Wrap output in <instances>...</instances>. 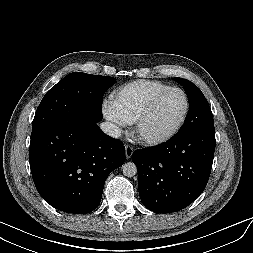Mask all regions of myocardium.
<instances>
[{
    "label": "myocardium",
    "mask_w": 253,
    "mask_h": 253,
    "mask_svg": "<svg viewBox=\"0 0 253 253\" xmlns=\"http://www.w3.org/2000/svg\"><path fill=\"white\" fill-rule=\"evenodd\" d=\"M172 91H178L180 92L183 97H184V101H185V107H184V111L179 119V121L177 122V124L167 133L163 134V135H159V136H151V137H146L141 135V127L143 125V123L145 122V120L148 118V116L150 115V113L152 112L153 108L155 107V105L158 103V101L167 93L172 92ZM189 109H190V102H189V97L187 95V93L180 87H168L158 93H156L146 104V106L144 107V109L142 110V112L139 114L138 118L136 119V121L134 122V134L137 137V139L146 144V145H160L163 144L167 141H169L170 139H172L183 127L188 113H189Z\"/></svg>",
    "instance_id": "myocardium-1"
}]
</instances>
